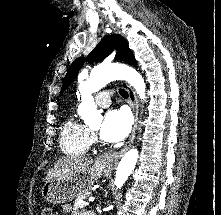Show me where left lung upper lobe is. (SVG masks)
<instances>
[{"mask_svg":"<svg viewBox=\"0 0 221 215\" xmlns=\"http://www.w3.org/2000/svg\"><path fill=\"white\" fill-rule=\"evenodd\" d=\"M115 48L117 49V54L115 57L116 59H122L136 64L133 53L128 48V44L123 37L120 35L105 36L98 44V46L87 56L86 59L77 58L72 63L64 78L61 93H63L64 90L73 82L85 60L90 63L99 62L110 55Z\"/></svg>","mask_w":221,"mask_h":215,"instance_id":"left-lung-upper-lobe-1","label":"left lung upper lobe"}]
</instances>
